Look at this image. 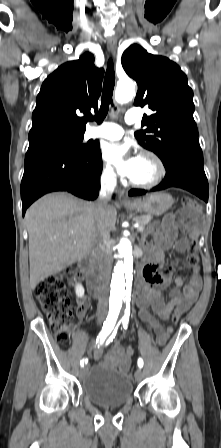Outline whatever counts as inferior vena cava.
I'll return each instance as SVG.
<instances>
[{
    "label": "inferior vena cava",
    "mask_w": 221,
    "mask_h": 448,
    "mask_svg": "<svg viewBox=\"0 0 221 448\" xmlns=\"http://www.w3.org/2000/svg\"><path fill=\"white\" fill-rule=\"evenodd\" d=\"M116 183V175L113 172L107 173L101 182V191L98 200L95 202V210L102 214L108 201L111 197L112 189ZM94 253L96 261L98 264L100 276H101V286L98 302V311L101 314L107 312L108 307V292H109V274L112 265V250L110 246V234L102 229H98V239L94 246Z\"/></svg>",
    "instance_id": "602c4592"
}]
</instances>
